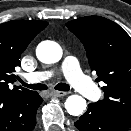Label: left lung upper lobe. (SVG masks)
I'll list each match as a JSON object with an SVG mask.
<instances>
[{"label":"left lung upper lobe","mask_w":131,"mask_h":131,"mask_svg":"<svg viewBox=\"0 0 131 131\" xmlns=\"http://www.w3.org/2000/svg\"><path fill=\"white\" fill-rule=\"evenodd\" d=\"M83 43L88 62L105 85L104 99L94 105L131 128V38L116 23L87 16L66 24Z\"/></svg>","instance_id":"5c2ea615"}]
</instances>
